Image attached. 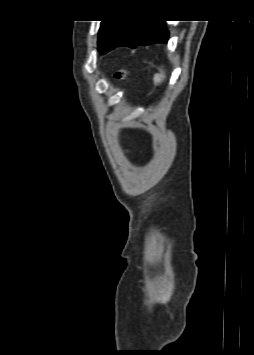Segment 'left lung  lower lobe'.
Returning a JSON list of instances; mask_svg holds the SVG:
<instances>
[{"label":"left lung lower lobe","instance_id":"left-lung-lower-lobe-1","mask_svg":"<svg viewBox=\"0 0 254 355\" xmlns=\"http://www.w3.org/2000/svg\"><path fill=\"white\" fill-rule=\"evenodd\" d=\"M168 38L169 33L165 27V21L156 19H135L128 22L120 39L114 44L113 48L119 46L135 48L142 44L166 43Z\"/></svg>","mask_w":254,"mask_h":355}]
</instances>
